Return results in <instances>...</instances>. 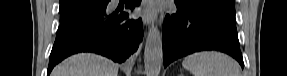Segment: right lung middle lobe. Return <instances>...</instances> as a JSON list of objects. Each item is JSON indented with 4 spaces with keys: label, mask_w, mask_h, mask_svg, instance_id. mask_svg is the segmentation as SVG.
<instances>
[{
    "label": "right lung middle lobe",
    "mask_w": 287,
    "mask_h": 76,
    "mask_svg": "<svg viewBox=\"0 0 287 76\" xmlns=\"http://www.w3.org/2000/svg\"><path fill=\"white\" fill-rule=\"evenodd\" d=\"M102 0H60V21H69L99 7Z\"/></svg>",
    "instance_id": "right-lung-middle-lobe-1"
}]
</instances>
